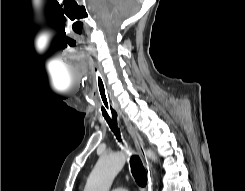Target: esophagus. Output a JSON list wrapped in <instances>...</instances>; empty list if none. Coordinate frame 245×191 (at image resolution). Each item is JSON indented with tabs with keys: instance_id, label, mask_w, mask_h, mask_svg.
Listing matches in <instances>:
<instances>
[{
	"instance_id": "34e87169",
	"label": "esophagus",
	"mask_w": 245,
	"mask_h": 191,
	"mask_svg": "<svg viewBox=\"0 0 245 191\" xmlns=\"http://www.w3.org/2000/svg\"><path fill=\"white\" fill-rule=\"evenodd\" d=\"M124 119V122L127 126V129L134 141L135 147L142 159L143 165L146 169L147 172V185H146V191H152L153 188V175H152V166L149 162V160L146 157V154L144 152V141L142 139V137L140 136V134L137 132V130L130 124V122L124 117L122 116Z\"/></svg>"
}]
</instances>
